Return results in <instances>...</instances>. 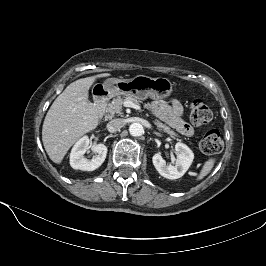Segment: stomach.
Segmentation results:
<instances>
[{"label":"stomach","instance_id":"1","mask_svg":"<svg viewBox=\"0 0 266 266\" xmlns=\"http://www.w3.org/2000/svg\"><path fill=\"white\" fill-rule=\"evenodd\" d=\"M103 88L108 95L133 96L138 100L163 99L168 97L173 91L172 82L165 77L152 78L145 75H138L130 80L107 79L103 83Z\"/></svg>","mask_w":266,"mask_h":266}]
</instances>
